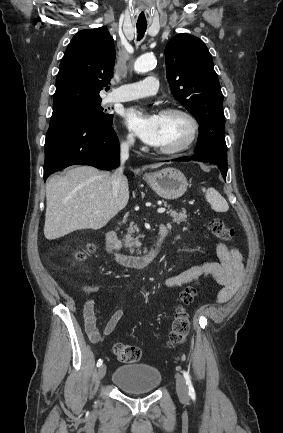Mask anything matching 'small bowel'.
I'll use <instances>...</instances> for the list:
<instances>
[{
    "label": "small bowel",
    "instance_id": "obj_1",
    "mask_svg": "<svg viewBox=\"0 0 283 433\" xmlns=\"http://www.w3.org/2000/svg\"><path fill=\"white\" fill-rule=\"evenodd\" d=\"M218 262H205L194 265L176 275L165 279L166 287H176L190 283L202 275H210L223 288L216 296L220 303L228 301L238 290L244 276L243 258L240 251L223 243L216 246ZM123 316L121 309L116 310L107 321L103 332L96 325L95 301L87 300L83 307L85 330L91 342H98L103 336L111 334Z\"/></svg>",
    "mask_w": 283,
    "mask_h": 433
}]
</instances>
